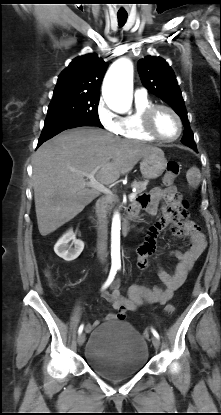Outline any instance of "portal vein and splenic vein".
Instances as JSON below:
<instances>
[{
	"instance_id": "1",
	"label": "portal vein and splenic vein",
	"mask_w": 221,
	"mask_h": 415,
	"mask_svg": "<svg viewBox=\"0 0 221 415\" xmlns=\"http://www.w3.org/2000/svg\"><path fill=\"white\" fill-rule=\"evenodd\" d=\"M97 171V169L96 170H94L92 173H90V174H85V173H83V175H85L87 178H89L90 179V182H88L86 185L87 186H89V187H92V188H94V189H96V190H98V191H100V192H103V193H105V194H112V192H111V190L110 189H108L107 187H105L103 184H101L100 182H98L97 180H95V178H94V174H95V172ZM136 197V194H135V192H133V193H131V194H129V198L130 199H133V198H135Z\"/></svg>"
}]
</instances>
